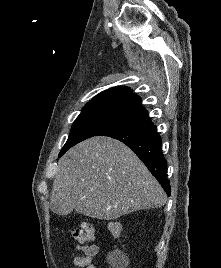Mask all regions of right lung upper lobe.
Wrapping results in <instances>:
<instances>
[{"mask_svg": "<svg viewBox=\"0 0 221 268\" xmlns=\"http://www.w3.org/2000/svg\"><path fill=\"white\" fill-rule=\"evenodd\" d=\"M82 111H105L131 121L148 115L141 106V98L128 87L105 90L90 100Z\"/></svg>", "mask_w": 221, "mask_h": 268, "instance_id": "cb5924a9", "label": "right lung upper lobe"}]
</instances>
